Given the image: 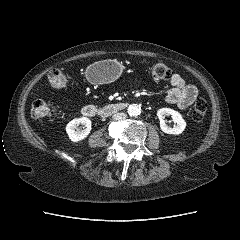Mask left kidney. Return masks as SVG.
<instances>
[{"mask_svg":"<svg viewBox=\"0 0 240 240\" xmlns=\"http://www.w3.org/2000/svg\"><path fill=\"white\" fill-rule=\"evenodd\" d=\"M166 115H171L173 121L176 123V125L173 128L166 125L164 120ZM157 116L160 120V128L164 133L179 135L184 131L186 127V122L183 119L182 115L171 108L159 109L157 111Z\"/></svg>","mask_w":240,"mask_h":240,"instance_id":"left-kidney-1","label":"left kidney"}]
</instances>
